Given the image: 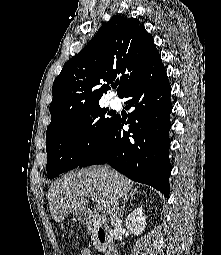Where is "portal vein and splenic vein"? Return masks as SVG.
<instances>
[{"label":"portal vein and splenic vein","mask_w":221,"mask_h":255,"mask_svg":"<svg viewBox=\"0 0 221 255\" xmlns=\"http://www.w3.org/2000/svg\"><path fill=\"white\" fill-rule=\"evenodd\" d=\"M92 197H93V199H95L96 200V202H97V208H102V202L98 199V197L95 195V194H93L92 195Z\"/></svg>","instance_id":"obj_1"}]
</instances>
